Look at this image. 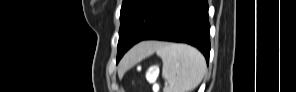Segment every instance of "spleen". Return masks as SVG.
<instances>
[{"label":"spleen","mask_w":296,"mask_h":92,"mask_svg":"<svg viewBox=\"0 0 296 92\" xmlns=\"http://www.w3.org/2000/svg\"><path fill=\"white\" fill-rule=\"evenodd\" d=\"M162 59V76L170 82L164 92H190L203 79L206 63L203 55L194 47L176 43L153 42L152 49Z\"/></svg>","instance_id":"3e777b00"}]
</instances>
